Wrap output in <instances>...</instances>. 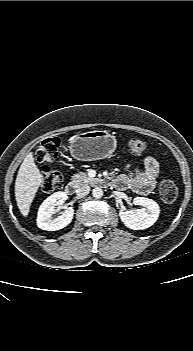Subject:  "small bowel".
<instances>
[{
	"instance_id": "1",
	"label": "small bowel",
	"mask_w": 193,
	"mask_h": 351,
	"mask_svg": "<svg viewBox=\"0 0 193 351\" xmlns=\"http://www.w3.org/2000/svg\"><path fill=\"white\" fill-rule=\"evenodd\" d=\"M159 175V163L153 156H147L143 161V169L135 175L123 174L115 182L121 188H126L140 195L149 194L156 185Z\"/></svg>"
}]
</instances>
